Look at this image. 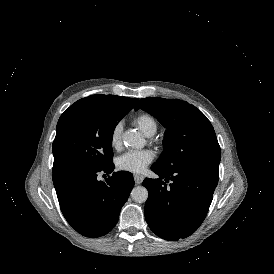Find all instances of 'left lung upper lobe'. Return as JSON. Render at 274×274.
Segmentation results:
<instances>
[{"instance_id":"left-lung-upper-lobe-1","label":"left lung upper lobe","mask_w":274,"mask_h":274,"mask_svg":"<svg viewBox=\"0 0 274 274\" xmlns=\"http://www.w3.org/2000/svg\"><path fill=\"white\" fill-rule=\"evenodd\" d=\"M142 109L166 128L164 151L154 163L165 169L206 165L219 169L221 150L207 117L195 106L179 100L148 97L140 99Z\"/></svg>"}]
</instances>
